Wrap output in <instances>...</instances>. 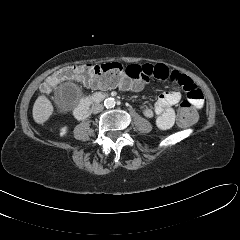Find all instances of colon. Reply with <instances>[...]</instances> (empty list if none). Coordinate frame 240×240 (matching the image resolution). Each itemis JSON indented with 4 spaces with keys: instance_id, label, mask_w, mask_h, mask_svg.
Masks as SVG:
<instances>
[{
    "instance_id": "obj_1",
    "label": "colon",
    "mask_w": 240,
    "mask_h": 240,
    "mask_svg": "<svg viewBox=\"0 0 240 240\" xmlns=\"http://www.w3.org/2000/svg\"><path fill=\"white\" fill-rule=\"evenodd\" d=\"M64 80H77L86 85L108 86L125 88L132 85L137 76L116 62H108L98 65H71L66 66L50 75L42 84V91L50 93L53 88ZM197 119V113L188 101H182L178 111V122L181 125H191Z\"/></svg>"
}]
</instances>
